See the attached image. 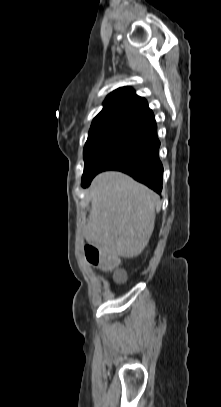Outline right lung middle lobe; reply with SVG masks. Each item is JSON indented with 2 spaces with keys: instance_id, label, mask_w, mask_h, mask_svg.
I'll use <instances>...</instances> for the list:
<instances>
[{
  "instance_id": "obj_1",
  "label": "right lung middle lobe",
  "mask_w": 221,
  "mask_h": 407,
  "mask_svg": "<svg viewBox=\"0 0 221 407\" xmlns=\"http://www.w3.org/2000/svg\"><path fill=\"white\" fill-rule=\"evenodd\" d=\"M137 130L138 127L134 126H118L89 133L83 151L82 184L94 176L110 155Z\"/></svg>"
}]
</instances>
